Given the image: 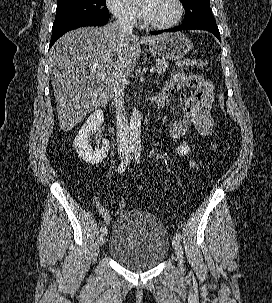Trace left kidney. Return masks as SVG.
Returning a JSON list of instances; mask_svg holds the SVG:
<instances>
[{
  "mask_svg": "<svg viewBox=\"0 0 272 303\" xmlns=\"http://www.w3.org/2000/svg\"><path fill=\"white\" fill-rule=\"evenodd\" d=\"M190 151V147L184 142L183 144H180V146L177 148V153L179 155H186Z\"/></svg>",
  "mask_w": 272,
  "mask_h": 303,
  "instance_id": "obj_1",
  "label": "left kidney"
}]
</instances>
